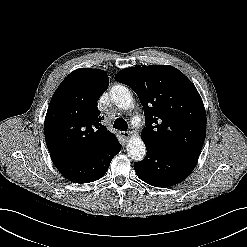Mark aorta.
I'll list each match as a JSON object with an SVG mask.
<instances>
[{"label": "aorta", "instance_id": "obj_1", "mask_svg": "<svg viewBox=\"0 0 247 247\" xmlns=\"http://www.w3.org/2000/svg\"><path fill=\"white\" fill-rule=\"evenodd\" d=\"M111 102L119 108L128 109L132 103V96L127 87L113 86L110 90ZM128 156L134 161H141L146 155V147L140 136H132L127 145Z\"/></svg>", "mask_w": 247, "mask_h": 247}]
</instances>
